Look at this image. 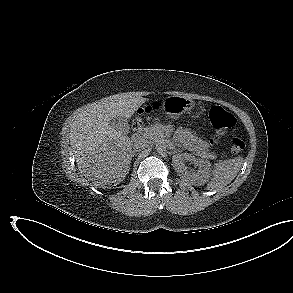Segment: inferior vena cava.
Masks as SVG:
<instances>
[{
    "label": "inferior vena cava",
    "instance_id": "1",
    "mask_svg": "<svg viewBox=\"0 0 293 293\" xmlns=\"http://www.w3.org/2000/svg\"><path fill=\"white\" fill-rule=\"evenodd\" d=\"M149 146V142L145 139L135 141L133 145L134 152H138L142 149H145Z\"/></svg>",
    "mask_w": 293,
    "mask_h": 293
}]
</instances>
